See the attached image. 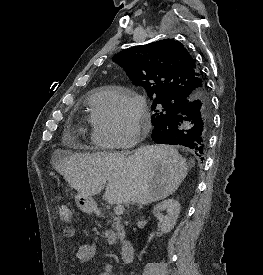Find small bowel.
I'll return each mask as SVG.
<instances>
[{
	"label": "small bowel",
	"instance_id": "obj_1",
	"mask_svg": "<svg viewBox=\"0 0 263 275\" xmlns=\"http://www.w3.org/2000/svg\"><path fill=\"white\" fill-rule=\"evenodd\" d=\"M64 236L67 238L73 237L75 230L73 227H66L63 231ZM76 259L80 263H86L91 261L94 258V247L91 244L85 243L79 246L78 250L75 253ZM113 267L110 264H106L103 268V271L99 275H112ZM75 275V274H72Z\"/></svg>",
	"mask_w": 263,
	"mask_h": 275
}]
</instances>
